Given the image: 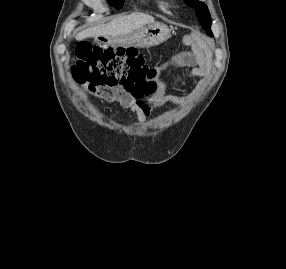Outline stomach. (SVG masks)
Segmentation results:
<instances>
[{"mask_svg":"<svg viewBox=\"0 0 286 269\" xmlns=\"http://www.w3.org/2000/svg\"><path fill=\"white\" fill-rule=\"evenodd\" d=\"M169 37L170 29L168 26L160 22H154L142 26L129 34L109 38L107 44L142 48L152 47L165 42Z\"/></svg>","mask_w":286,"mask_h":269,"instance_id":"1","label":"stomach"}]
</instances>
